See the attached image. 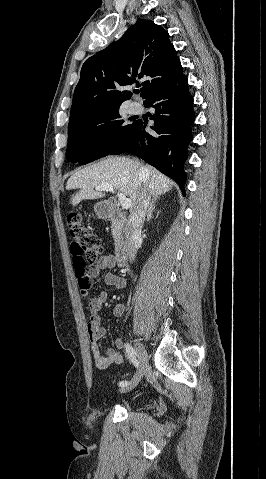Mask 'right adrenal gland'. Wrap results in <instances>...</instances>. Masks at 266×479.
<instances>
[{
    "label": "right adrenal gland",
    "mask_w": 266,
    "mask_h": 479,
    "mask_svg": "<svg viewBox=\"0 0 266 479\" xmlns=\"http://www.w3.org/2000/svg\"><path fill=\"white\" fill-rule=\"evenodd\" d=\"M155 203H156V198H153L151 203H150V207L148 209V213H147V216H146V219L145 221L149 222L150 219L153 217V211L155 209Z\"/></svg>",
    "instance_id": "2a0ac1e0"
}]
</instances>
